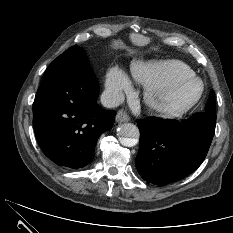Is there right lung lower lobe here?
Returning a JSON list of instances; mask_svg holds the SVG:
<instances>
[{
    "instance_id": "obj_1",
    "label": "right lung lower lobe",
    "mask_w": 233,
    "mask_h": 233,
    "mask_svg": "<svg viewBox=\"0 0 233 233\" xmlns=\"http://www.w3.org/2000/svg\"><path fill=\"white\" fill-rule=\"evenodd\" d=\"M99 84L90 64L50 65L33 103V127L43 153L59 166L89 164L115 111L97 104Z\"/></svg>"
}]
</instances>
